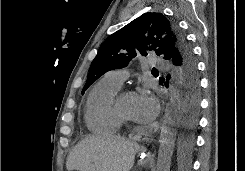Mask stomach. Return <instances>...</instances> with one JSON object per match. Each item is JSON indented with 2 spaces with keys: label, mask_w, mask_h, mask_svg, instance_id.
Instances as JSON below:
<instances>
[{
  "label": "stomach",
  "mask_w": 245,
  "mask_h": 171,
  "mask_svg": "<svg viewBox=\"0 0 245 171\" xmlns=\"http://www.w3.org/2000/svg\"><path fill=\"white\" fill-rule=\"evenodd\" d=\"M147 162H148V161H147L146 159H141V160H140V163H141V164H147Z\"/></svg>",
  "instance_id": "0dacf381"
}]
</instances>
